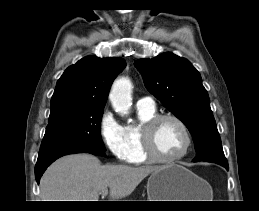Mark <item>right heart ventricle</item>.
Segmentation results:
<instances>
[{
  "mask_svg": "<svg viewBox=\"0 0 259 211\" xmlns=\"http://www.w3.org/2000/svg\"><path fill=\"white\" fill-rule=\"evenodd\" d=\"M137 114L139 122L134 125H127L123 128L125 141L123 159L127 163L139 165L149 163L142 148L141 126L145 121L157 115V111L156 108L137 106Z\"/></svg>",
  "mask_w": 259,
  "mask_h": 211,
  "instance_id": "obj_1",
  "label": "right heart ventricle"
}]
</instances>
